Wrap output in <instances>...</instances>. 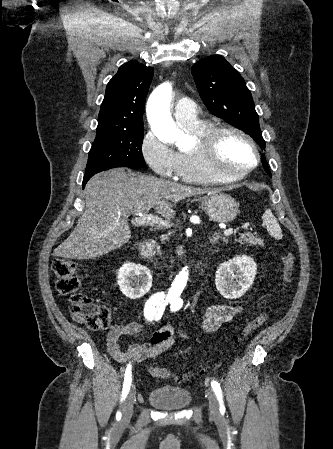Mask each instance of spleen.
<instances>
[{
	"instance_id": "spleen-1",
	"label": "spleen",
	"mask_w": 333,
	"mask_h": 449,
	"mask_svg": "<svg viewBox=\"0 0 333 449\" xmlns=\"http://www.w3.org/2000/svg\"><path fill=\"white\" fill-rule=\"evenodd\" d=\"M263 223L266 225L267 231L270 233L271 236H273L275 239H281L282 238V230L280 228V225L275 218V216L272 214L270 209H266L263 216Z\"/></svg>"
}]
</instances>
